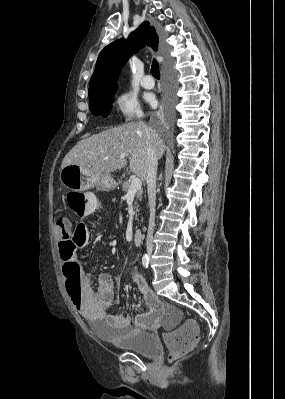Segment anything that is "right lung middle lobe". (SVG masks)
I'll return each instance as SVG.
<instances>
[{
  "label": "right lung middle lobe",
  "mask_w": 285,
  "mask_h": 399,
  "mask_svg": "<svg viewBox=\"0 0 285 399\" xmlns=\"http://www.w3.org/2000/svg\"><path fill=\"white\" fill-rule=\"evenodd\" d=\"M115 92L104 93L93 97L89 102V109L94 115L107 117L111 111L113 96Z\"/></svg>",
  "instance_id": "right-lung-middle-lobe-1"
}]
</instances>
